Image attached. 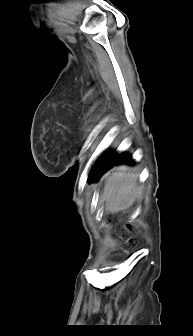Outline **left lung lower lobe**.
<instances>
[{
	"label": "left lung lower lobe",
	"instance_id": "left-lung-lower-lobe-1",
	"mask_svg": "<svg viewBox=\"0 0 193 336\" xmlns=\"http://www.w3.org/2000/svg\"><path fill=\"white\" fill-rule=\"evenodd\" d=\"M131 161V157L127 156L124 153L118 155L112 153H107L106 155L103 154L94 164L93 168L91 169L90 175L93 176L92 179L94 181L113 165L119 163L129 164Z\"/></svg>",
	"mask_w": 193,
	"mask_h": 336
}]
</instances>
